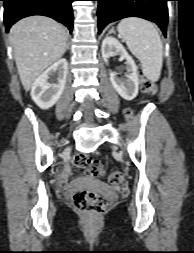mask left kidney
<instances>
[{"instance_id":"1","label":"left kidney","mask_w":194,"mask_h":253,"mask_svg":"<svg viewBox=\"0 0 194 253\" xmlns=\"http://www.w3.org/2000/svg\"><path fill=\"white\" fill-rule=\"evenodd\" d=\"M101 52L103 60L108 64V59L114 55L119 54L121 59L126 60V77L122 80L116 76V73L110 72V81L117 91V93L125 100H132L138 94L139 79L137 67L132 57L127 53L123 45L114 37L106 36L102 41Z\"/></svg>"}]
</instances>
